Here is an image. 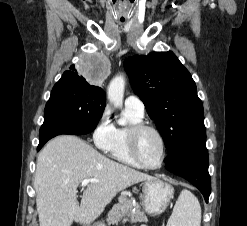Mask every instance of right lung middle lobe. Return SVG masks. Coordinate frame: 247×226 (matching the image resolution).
I'll return each instance as SVG.
<instances>
[{"label": "right lung middle lobe", "instance_id": "obj_1", "mask_svg": "<svg viewBox=\"0 0 247 226\" xmlns=\"http://www.w3.org/2000/svg\"><path fill=\"white\" fill-rule=\"evenodd\" d=\"M105 103L103 96L78 86L71 78L60 79L46 104L44 124L60 122L94 130L102 117Z\"/></svg>", "mask_w": 247, "mask_h": 226}]
</instances>
